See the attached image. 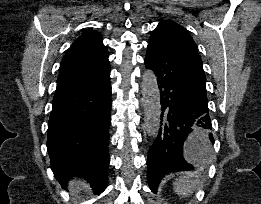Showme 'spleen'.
Returning <instances> with one entry per match:
<instances>
[{
  "mask_svg": "<svg viewBox=\"0 0 261 204\" xmlns=\"http://www.w3.org/2000/svg\"><path fill=\"white\" fill-rule=\"evenodd\" d=\"M198 135V132L195 136ZM194 141V140H193ZM196 149H202L203 153H206L210 149V143L207 139L199 138V142L197 144H192ZM192 147V146H190ZM174 185V192L179 195L180 197H186L190 193H192L196 186V180L194 178L193 173H183L179 176L178 179L173 183Z\"/></svg>",
  "mask_w": 261,
  "mask_h": 204,
  "instance_id": "1",
  "label": "spleen"
}]
</instances>
